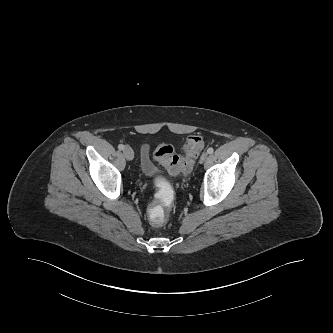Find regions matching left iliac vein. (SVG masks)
<instances>
[{
	"label": "left iliac vein",
	"instance_id": "4c4485c4",
	"mask_svg": "<svg viewBox=\"0 0 333 333\" xmlns=\"http://www.w3.org/2000/svg\"><path fill=\"white\" fill-rule=\"evenodd\" d=\"M208 159V154L207 153H203L202 156L200 157V163L205 162Z\"/></svg>",
	"mask_w": 333,
	"mask_h": 333
}]
</instances>
